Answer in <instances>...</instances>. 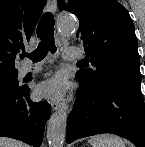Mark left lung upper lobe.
<instances>
[{
    "mask_svg": "<svg viewBox=\"0 0 145 147\" xmlns=\"http://www.w3.org/2000/svg\"><path fill=\"white\" fill-rule=\"evenodd\" d=\"M59 10L76 15L77 37L86 60L94 68L79 70L76 78L99 86L119 75H139L140 61L135 28L129 12L117 0H58Z\"/></svg>",
    "mask_w": 145,
    "mask_h": 147,
    "instance_id": "5c2ea615",
    "label": "left lung upper lobe"
}]
</instances>
